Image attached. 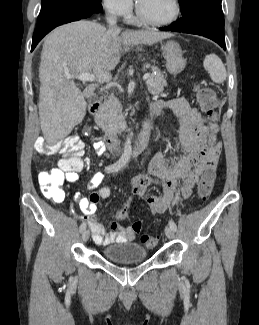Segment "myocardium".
Returning <instances> with one entry per match:
<instances>
[{
  "instance_id": "1",
  "label": "myocardium",
  "mask_w": 259,
  "mask_h": 325,
  "mask_svg": "<svg viewBox=\"0 0 259 325\" xmlns=\"http://www.w3.org/2000/svg\"><path fill=\"white\" fill-rule=\"evenodd\" d=\"M172 3V13L165 19L161 20H156V19H151L147 17L141 8L140 2L137 3L136 6V14L137 17L139 18L140 21H142L145 24L151 25V26H166L171 23H173L180 15L181 13V4L179 0H171Z\"/></svg>"
}]
</instances>
